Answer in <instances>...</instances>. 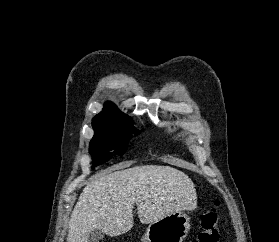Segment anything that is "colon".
Returning a JSON list of instances; mask_svg holds the SVG:
<instances>
[{
  "mask_svg": "<svg viewBox=\"0 0 279 242\" xmlns=\"http://www.w3.org/2000/svg\"><path fill=\"white\" fill-rule=\"evenodd\" d=\"M201 229L191 242L219 241V202L215 201L200 217Z\"/></svg>",
  "mask_w": 279,
  "mask_h": 242,
  "instance_id": "colon-1",
  "label": "colon"
}]
</instances>
